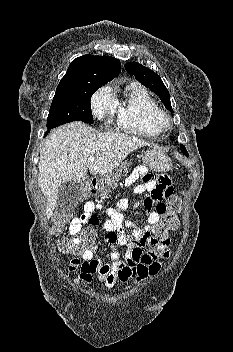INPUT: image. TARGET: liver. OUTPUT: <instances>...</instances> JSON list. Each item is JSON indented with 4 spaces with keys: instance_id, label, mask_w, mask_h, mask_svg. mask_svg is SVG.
Listing matches in <instances>:
<instances>
[{
    "instance_id": "liver-1",
    "label": "liver",
    "mask_w": 233,
    "mask_h": 352,
    "mask_svg": "<svg viewBox=\"0 0 233 352\" xmlns=\"http://www.w3.org/2000/svg\"><path fill=\"white\" fill-rule=\"evenodd\" d=\"M148 143L120 133H97L82 122L55 129L40 152L38 184L47 199L50 218L57 206L58 189L70 181H83L88 168L93 175H105L116 168L134 150ZM94 156L93 162L88 157Z\"/></svg>"
}]
</instances>
